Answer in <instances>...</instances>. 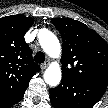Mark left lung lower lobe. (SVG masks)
I'll return each instance as SVG.
<instances>
[{
  "label": "left lung lower lobe",
  "instance_id": "0a47b994",
  "mask_svg": "<svg viewBox=\"0 0 108 108\" xmlns=\"http://www.w3.org/2000/svg\"><path fill=\"white\" fill-rule=\"evenodd\" d=\"M107 85L73 78H63L50 90L54 108H92L102 97Z\"/></svg>",
  "mask_w": 108,
  "mask_h": 108
}]
</instances>
